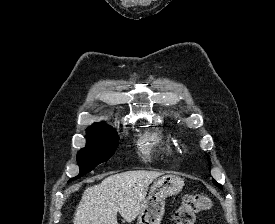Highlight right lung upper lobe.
<instances>
[{"mask_svg": "<svg viewBox=\"0 0 275 224\" xmlns=\"http://www.w3.org/2000/svg\"><path fill=\"white\" fill-rule=\"evenodd\" d=\"M104 128H110V127L106 126V125L96 123V124L93 125V127H89L88 129H104Z\"/></svg>", "mask_w": 275, "mask_h": 224, "instance_id": "right-lung-upper-lobe-1", "label": "right lung upper lobe"}]
</instances>
